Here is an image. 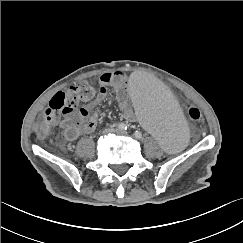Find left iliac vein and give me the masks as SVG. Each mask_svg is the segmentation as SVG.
Instances as JSON below:
<instances>
[{
    "label": "left iliac vein",
    "mask_w": 243,
    "mask_h": 243,
    "mask_svg": "<svg viewBox=\"0 0 243 243\" xmlns=\"http://www.w3.org/2000/svg\"><path fill=\"white\" fill-rule=\"evenodd\" d=\"M114 132L125 134L124 131H121V130H119V129H115Z\"/></svg>",
    "instance_id": "1"
}]
</instances>
